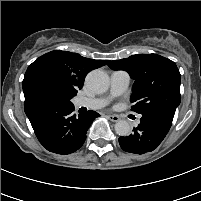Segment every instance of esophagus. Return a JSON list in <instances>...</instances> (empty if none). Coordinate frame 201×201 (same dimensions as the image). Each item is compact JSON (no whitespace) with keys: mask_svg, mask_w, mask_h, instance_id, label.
Returning <instances> with one entry per match:
<instances>
[{"mask_svg":"<svg viewBox=\"0 0 201 201\" xmlns=\"http://www.w3.org/2000/svg\"><path fill=\"white\" fill-rule=\"evenodd\" d=\"M107 118H108L110 121H112V122H117V121L120 120L119 116H117V115H111V114L107 115Z\"/></svg>","mask_w":201,"mask_h":201,"instance_id":"obj_1","label":"esophagus"}]
</instances>
